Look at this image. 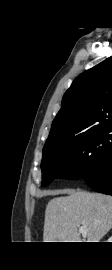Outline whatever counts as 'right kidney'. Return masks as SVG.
Here are the masks:
<instances>
[{
  "instance_id": "1",
  "label": "right kidney",
  "mask_w": 112,
  "mask_h": 270,
  "mask_svg": "<svg viewBox=\"0 0 112 270\" xmlns=\"http://www.w3.org/2000/svg\"><path fill=\"white\" fill-rule=\"evenodd\" d=\"M108 242H112V236L108 239Z\"/></svg>"
}]
</instances>
